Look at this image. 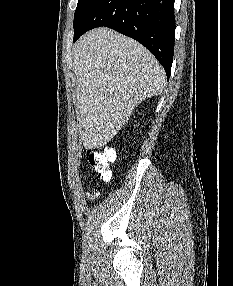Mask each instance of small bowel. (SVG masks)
<instances>
[{"mask_svg":"<svg viewBox=\"0 0 233 286\" xmlns=\"http://www.w3.org/2000/svg\"><path fill=\"white\" fill-rule=\"evenodd\" d=\"M86 197H87L88 200H92L94 198V196L92 194H90V193H87Z\"/></svg>","mask_w":233,"mask_h":286,"instance_id":"1","label":"small bowel"}]
</instances>
